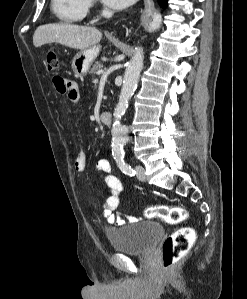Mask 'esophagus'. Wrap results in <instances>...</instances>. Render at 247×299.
Here are the masks:
<instances>
[{
	"instance_id": "esophagus-1",
	"label": "esophagus",
	"mask_w": 247,
	"mask_h": 299,
	"mask_svg": "<svg viewBox=\"0 0 247 299\" xmlns=\"http://www.w3.org/2000/svg\"><path fill=\"white\" fill-rule=\"evenodd\" d=\"M145 6L149 9H153L154 8V3L153 0H144Z\"/></svg>"
}]
</instances>
